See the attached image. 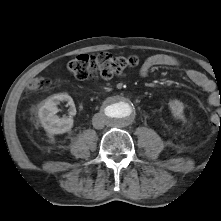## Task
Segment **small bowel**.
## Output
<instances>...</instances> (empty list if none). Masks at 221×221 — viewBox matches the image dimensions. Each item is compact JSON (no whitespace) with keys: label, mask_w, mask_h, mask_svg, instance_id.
<instances>
[{"label":"small bowel","mask_w":221,"mask_h":221,"mask_svg":"<svg viewBox=\"0 0 221 221\" xmlns=\"http://www.w3.org/2000/svg\"><path fill=\"white\" fill-rule=\"evenodd\" d=\"M178 65V61L172 56L166 54H155L149 56L143 62L139 73L141 76L144 77L147 76L150 71L155 67H176ZM187 77L193 84H195L207 93V103L209 106L216 107L221 104V98L216 92V87L213 80L208 78L202 72L194 69H190L187 71Z\"/></svg>","instance_id":"1"}]
</instances>
